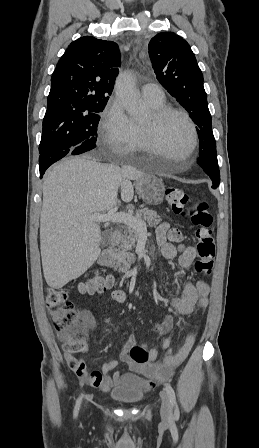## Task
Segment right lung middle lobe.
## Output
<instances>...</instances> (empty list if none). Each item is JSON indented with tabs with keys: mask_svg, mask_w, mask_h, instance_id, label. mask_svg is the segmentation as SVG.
I'll return each instance as SVG.
<instances>
[{
	"mask_svg": "<svg viewBox=\"0 0 259 448\" xmlns=\"http://www.w3.org/2000/svg\"><path fill=\"white\" fill-rule=\"evenodd\" d=\"M105 106L67 114L46 113L39 153L70 150L78 155L96 147L99 113Z\"/></svg>",
	"mask_w": 259,
	"mask_h": 448,
	"instance_id": "right-lung-middle-lobe-1",
	"label": "right lung middle lobe"
}]
</instances>
